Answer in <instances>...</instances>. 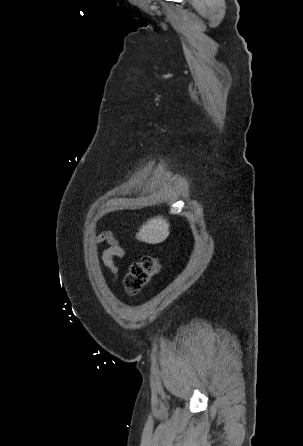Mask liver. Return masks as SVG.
Here are the masks:
<instances>
[{
	"label": "liver",
	"instance_id": "obj_1",
	"mask_svg": "<svg viewBox=\"0 0 303 446\" xmlns=\"http://www.w3.org/2000/svg\"><path fill=\"white\" fill-rule=\"evenodd\" d=\"M169 223L162 216L149 219L142 225L136 238L148 244H158L163 242L170 234Z\"/></svg>",
	"mask_w": 303,
	"mask_h": 446
}]
</instances>
